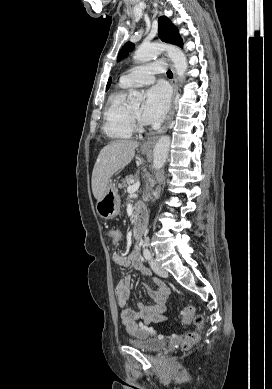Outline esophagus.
<instances>
[{"mask_svg":"<svg viewBox=\"0 0 272 389\" xmlns=\"http://www.w3.org/2000/svg\"><path fill=\"white\" fill-rule=\"evenodd\" d=\"M164 59H166L170 66H171V70L173 72V78H172V81H171V85L173 87V97H172V103H171V109H170V112H169V115H168V118H167V121L166 123L164 124V126L158 130V132L149 137L143 144H142V148H152L156 141L158 140V138L167 131L168 127H169V124L173 118V114H174V102H175V98L177 96V93H178V87H177V76H176V72H175V68L173 66V64L170 62V60L167 58V55L164 54L163 56Z\"/></svg>","mask_w":272,"mask_h":389,"instance_id":"obj_1","label":"esophagus"}]
</instances>
